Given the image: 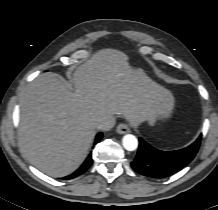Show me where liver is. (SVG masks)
I'll list each match as a JSON object with an SVG mask.
<instances>
[{
  "label": "liver",
  "mask_w": 218,
  "mask_h": 210,
  "mask_svg": "<svg viewBox=\"0 0 218 210\" xmlns=\"http://www.w3.org/2000/svg\"><path fill=\"white\" fill-rule=\"evenodd\" d=\"M74 88L55 73L38 76L20 100L19 138L40 171L63 177L86 158L96 125L121 115L137 126L157 110L174 109L172 94L130 65L122 52L104 49L74 72Z\"/></svg>",
  "instance_id": "6515ba94"
}]
</instances>
